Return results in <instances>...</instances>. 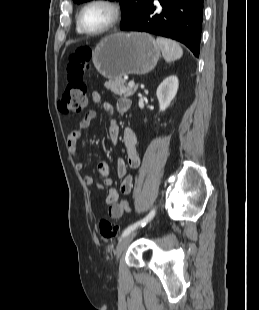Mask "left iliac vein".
Listing matches in <instances>:
<instances>
[{"label":"left iliac vein","instance_id":"4c4485c4","mask_svg":"<svg viewBox=\"0 0 259 310\" xmlns=\"http://www.w3.org/2000/svg\"><path fill=\"white\" fill-rule=\"evenodd\" d=\"M137 233H138V229L133 230L131 233L124 236L119 241V243L117 244L116 250H115L116 259H118L121 256V254L125 251V249L128 247V245L131 243V241L137 235Z\"/></svg>","mask_w":259,"mask_h":310}]
</instances>
